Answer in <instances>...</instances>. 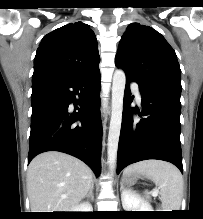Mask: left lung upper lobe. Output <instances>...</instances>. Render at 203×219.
Returning a JSON list of instances; mask_svg holds the SVG:
<instances>
[{"instance_id": "left-lung-upper-lobe-1", "label": "left lung upper lobe", "mask_w": 203, "mask_h": 219, "mask_svg": "<svg viewBox=\"0 0 203 219\" xmlns=\"http://www.w3.org/2000/svg\"><path fill=\"white\" fill-rule=\"evenodd\" d=\"M115 64L126 76L181 92V70L173 48L156 30L132 23L123 34Z\"/></svg>"}]
</instances>
